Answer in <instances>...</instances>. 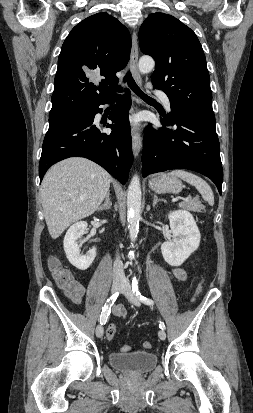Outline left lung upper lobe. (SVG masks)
<instances>
[{
	"instance_id": "5c2ea615",
	"label": "left lung upper lobe",
	"mask_w": 253,
	"mask_h": 413,
	"mask_svg": "<svg viewBox=\"0 0 253 413\" xmlns=\"http://www.w3.org/2000/svg\"><path fill=\"white\" fill-rule=\"evenodd\" d=\"M139 45L152 56V83L169 97L172 112L215 122L206 58L196 34L175 17L150 14L139 30Z\"/></svg>"
}]
</instances>
